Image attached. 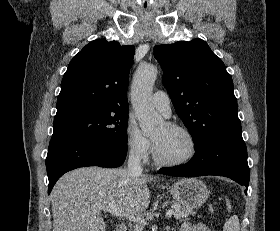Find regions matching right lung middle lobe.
<instances>
[{"instance_id": "obj_1", "label": "right lung middle lobe", "mask_w": 280, "mask_h": 231, "mask_svg": "<svg viewBox=\"0 0 280 231\" xmlns=\"http://www.w3.org/2000/svg\"><path fill=\"white\" fill-rule=\"evenodd\" d=\"M128 112L103 113L54 121L53 136L71 135L127 151Z\"/></svg>"}]
</instances>
